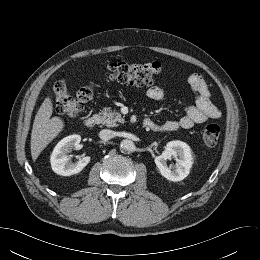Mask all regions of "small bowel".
Here are the masks:
<instances>
[{
  "mask_svg": "<svg viewBox=\"0 0 260 260\" xmlns=\"http://www.w3.org/2000/svg\"><path fill=\"white\" fill-rule=\"evenodd\" d=\"M188 85L197 93L196 103L185 107V114L178 120H167L157 124L153 122L154 131L172 132L178 129H189L195 124L203 123L209 119H218L221 112L210 100V92L203 76L193 73L188 77ZM147 96L152 100H160L165 96V91L160 86H152L147 90Z\"/></svg>",
  "mask_w": 260,
  "mask_h": 260,
  "instance_id": "c3829d8e",
  "label": "small bowel"
}]
</instances>
